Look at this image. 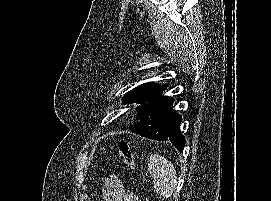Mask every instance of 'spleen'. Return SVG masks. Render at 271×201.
<instances>
[{
    "label": "spleen",
    "mask_w": 271,
    "mask_h": 201,
    "mask_svg": "<svg viewBox=\"0 0 271 201\" xmlns=\"http://www.w3.org/2000/svg\"><path fill=\"white\" fill-rule=\"evenodd\" d=\"M148 172L153 178L156 192L164 198L171 197L177 186L174 165L166 158L152 154L148 160Z\"/></svg>",
    "instance_id": "spleen-1"
}]
</instances>
